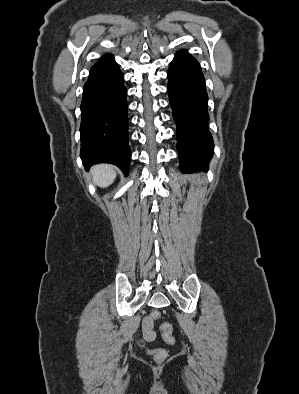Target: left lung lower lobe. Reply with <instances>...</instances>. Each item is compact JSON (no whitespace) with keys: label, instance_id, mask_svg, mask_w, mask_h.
Returning a JSON list of instances; mask_svg holds the SVG:
<instances>
[{"label":"left lung lower lobe","instance_id":"obj_1","mask_svg":"<svg viewBox=\"0 0 299 394\" xmlns=\"http://www.w3.org/2000/svg\"><path fill=\"white\" fill-rule=\"evenodd\" d=\"M168 93L177 124V149L183 173L207 169L213 155L208 130V95L200 64L186 50L176 53L168 69Z\"/></svg>","mask_w":299,"mask_h":394}]
</instances>
